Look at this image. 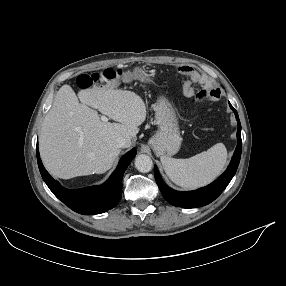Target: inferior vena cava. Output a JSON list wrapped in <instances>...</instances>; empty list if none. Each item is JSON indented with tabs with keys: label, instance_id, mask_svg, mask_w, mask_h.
I'll return each mask as SVG.
<instances>
[{
	"label": "inferior vena cava",
	"instance_id": "1",
	"mask_svg": "<svg viewBox=\"0 0 286 286\" xmlns=\"http://www.w3.org/2000/svg\"><path fill=\"white\" fill-rule=\"evenodd\" d=\"M127 146V141L124 138H119L117 140V147L118 148H125Z\"/></svg>",
	"mask_w": 286,
	"mask_h": 286
}]
</instances>
